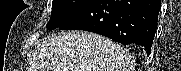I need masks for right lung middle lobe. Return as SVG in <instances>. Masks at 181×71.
Here are the masks:
<instances>
[{"instance_id": "dd1d6c3e", "label": "right lung middle lobe", "mask_w": 181, "mask_h": 71, "mask_svg": "<svg viewBox=\"0 0 181 71\" xmlns=\"http://www.w3.org/2000/svg\"><path fill=\"white\" fill-rule=\"evenodd\" d=\"M93 1L94 0H53L51 18L46 27L49 30L58 28Z\"/></svg>"}]
</instances>
